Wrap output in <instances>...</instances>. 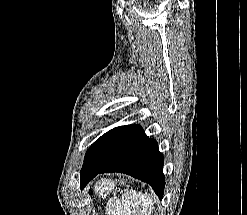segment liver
<instances>
[{
	"mask_svg": "<svg viewBox=\"0 0 247 215\" xmlns=\"http://www.w3.org/2000/svg\"><path fill=\"white\" fill-rule=\"evenodd\" d=\"M105 190H107V191H108V189H105ZM99 192H100V194H102V193H103V189H101Z\"/></svg>",
	"mask_w": 247,
	"mask_h": 215,
	"instance_id": "6515ba94",
	"label": "liver"
}]
</instances>
